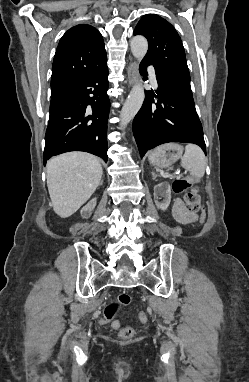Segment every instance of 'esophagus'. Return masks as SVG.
Returning <instances> with one entry per match:
<instances>
[{"label": "esophagus", "mask_w": 249, "mask_h": 382, "mask_svg": "<svg viewBox=\"0 0 249 382\" xmlns=\"http://www.w3.org/2000/svg\"><path fill=\"white\" fill-rule=\"evenodd\" d=\"M128 79L130 85H133L138 79V65L135 61L128 66Z\"/></svg>", "instance_id": "34e87169"}]
</instances>
